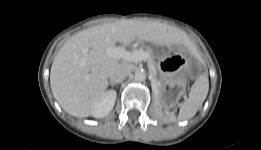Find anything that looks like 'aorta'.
Masks as SVG:
<instances>
[{
  "label": "aorta",
  "mask_w": 261,
  "mask_h": 150,
  "mask_svg": "<svg viewBox=\"0 0 261 150\" xmlns=\"http://www.w3.org/2000/svg\"><path fill=\"white\" fill-rule=\"evenodd\" d=\"M145 78H146V74L142 71H138L134 75V79L136 82H142L145 80Z\"/></svg>",
  "instance_id": "1"
}]
</instances>
